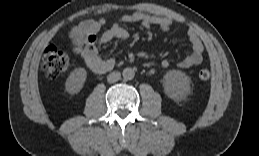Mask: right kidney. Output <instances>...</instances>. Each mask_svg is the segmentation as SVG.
I'll use <instances>...</instances> for the list:
<instances>
[{"label": "right kidney", "mask_w": 259, "mask_h": 156, "mask_svg": "<svg viewBox=\"0 0 259 156\" xmlns=\"http://www.w3.org/2000/svg\"><path fill=\"white\" fill-rule=\"evenodd\" d=\"M87 72L84 68L74 69L66 80L65 88L71 94L80 92L86 81Z\"/></svg>", "instance_id": "1"}]
</instances>
